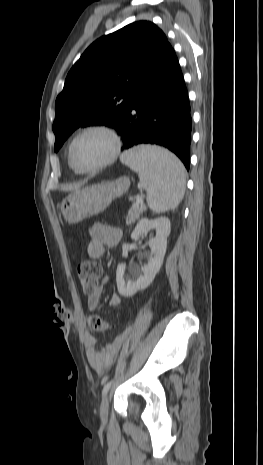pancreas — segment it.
<instances>
[{
  "instance_id": "1",
  "label": "pancreas",
  "mask_w": 263,
  "mask_h": 465,
  "mask_svg": "<svg viewBox=\"0 0 263 465\" xmlns=\"http://www.w3.org/2000/svg\"><path fill=\"white\" fill-rule=\"evenodd\" d=\"M145 209L146 207L143 203L137 206L133 205L126 217V224L130 225L132 223H135V221L139 219L140 215L145 211Z\"/></svg>"
}]
</instances>
